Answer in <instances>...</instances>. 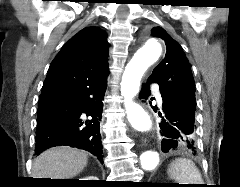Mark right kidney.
I'll list each match as a JSON object with an SVG mask.
<instances>
[{
    "instance_id": "ca27d5eb",
    "label": "right kidney",
    "mask_w": 240,
    "mask_h": 187,
    "mask_svg": "<svg viewBox=\"0 0 240 187\" xmlns=\"http://www.w3.org/2000/svg\"><path fill=\"white\" fill-rule=\"evenodd\" d=\"M80 180H98V178L95 177V176H89V177H87V178H82V179H80Z\"/></svg>"
}]
</instances>
